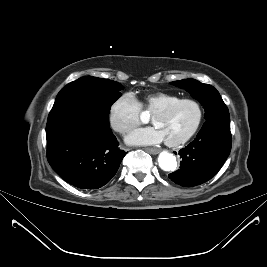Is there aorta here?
Returning <instances> with one entry per match:
<instances>
[{"label": "aorta", "mask_w": 267, "mask_h": 267, "mask_svg": "<svg viewBox=\"0 0 267 267\" xmlns=\"http://www.w3.org/2000/svg\"><path fill=\"white\" fill-rule=\"evenodd\" d=\"M158 163L164 171H174L177 167L176 158L169 152H161L158 157Z\"/></svg>", "instance_id": "1"}]
</instances>
